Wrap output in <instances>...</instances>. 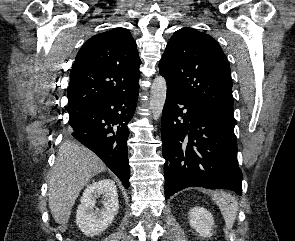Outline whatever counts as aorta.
I'll list each match as a JSON object with an SVG mask.
<instances>
[{
	"label": "aorta",
	"instance_id": "obj_1",
	"mask_svg": "<svg viewBox=\"0 0 295 241\" xmlns=\"http://www.w3.org/2000/svg\"><path fill=\"white\" fill-rule=\"evenodd\" d=\"M167 83L162 76H157L152 83L150 91V110L155 120L159 119L166 100Z\"/></svg>",
	"mask_w": 295,
	"mask_h": 241
}]
</instances>
